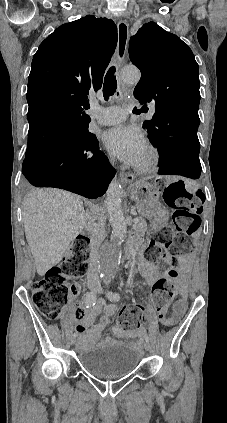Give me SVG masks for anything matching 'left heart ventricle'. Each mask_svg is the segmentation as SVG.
<instances>
[{
	"mask_svg": "<svg viewBox=\"0 0 227 423\" xmlns=\"http://www.w3.org/2000/svg\"><path fill=\"white\" fill-rule=\"evenodd\" d=\"M149 157H150L149 150L146 149V151H145V153H144V155L142 157V160H141V162H140L139 165H141V164L145 163L146 161H148Z\"/></svg>",
	"mask_w": 227,
	"mask_h": 423,
	"instance_id": "1",
	"label": "left heart ventricle"
}]
</instances>
